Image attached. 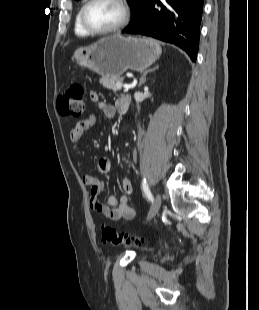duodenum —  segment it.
<instances>
[{
    "instance_id": "obj_1",
    "label": "duodenum",
    "mask_w": 259,
    "mask_h": 310,
    "mask_svg": "<svg viewBox=\"0 0 259 310\" xmlns=\"http://www.w3.org/2000/svg\"><path fill=\"white\" fill-rule=\"evenodd\" d=\"M128 105H129V97H122L119 100L118 106H117V110L119 113H125L128 109Z\"/></svg>"
}]
</instances>
